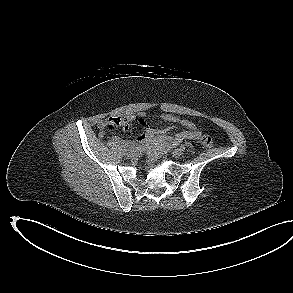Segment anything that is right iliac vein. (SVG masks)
I'll return each mask as SVG.
<instances>
[{"label":"right iliac vein","instance_id":"obj_1","mask_svg":"<svg viewBox=\"0 0 293 293\" xmlns=\"http://www.w3.org/2000/svg\"><path fill=\"white\" fill-rule=\"evenodd\" d=\"M126 155H127V157L132 158L137 155V152L135 150H129L126 152Z\"/></svg>","mask_w":293,"mask_h":293}]
</instances>
